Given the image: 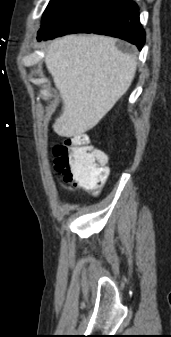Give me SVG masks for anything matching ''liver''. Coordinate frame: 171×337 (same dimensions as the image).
Returning <instances> with one entry per match:
<instances>
[{"label":"liver","instance_id":"liver-1","mask_svg":"<svg viewBox=\"0 0 171 337\" xmlns=\"http://www.w3.org/2000/svg\"><path fill=\"white\" fill-rule=\"evenodd\" d=\"M110 37L69 35L47 46L45 64L63 101L53 124L62 137L93 128L130 87L136 60Z\"/></svg>","mask_w":171,"mask_h":337}]
</instances>
